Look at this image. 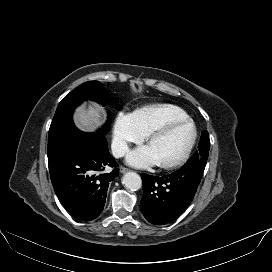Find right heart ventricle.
<instances>
[{"mask_svg": "<svg viewBox=\"0 0 272 272\" xmlns=\"http://www.w3.org/2000/svg\"><path fill=\"white\" fill-rule=\"evenodd\" d=\"M188 117L182 108L173 104L149 105L133 113L135 125L143 136L170 120Z\"/></svg>", "mask_w": 272, "mask_h": 272, "instance_id": "obj_1", "label": "right heart ventricle"}]
</instances>
